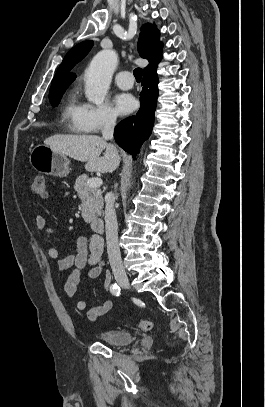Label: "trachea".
Listing matches in <instances>:
<instances>
[{
    "label": "trachea",
    "instance_id": "3493384b",
    "mask_svg": "<svg viewBox=\"0 0 265 407\" xmlns=\"http://www.w3.org/2000/svg\"><path fill=\"white\" fill-rule=\"evenodd\" d=\"M133 73H134V76H135L136 80L141 81L142 74H143L142 69L141 68H136Z\"/></svg>",
    "mask_w": 265,
    "mask_h": 407
}]
</instances>
